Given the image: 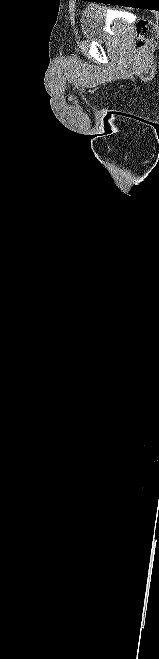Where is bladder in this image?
I'll return each mask as SVG.
<instances>
[{
    "label": "bladder",
    "instance_id": "bladder-1",
    "mask_svg": "<svg viewBox=\"0 0 159 659\" xmlns=\"http://www.w3.org/2000/svg\"><path fill=\"white\" fill-rule=\"evenodd\" d=\"M106 10L96 6H87L81 15V30L84 38L94 41H103L109 38L107 31ZM121 30L120 24L111 25V33L117 34Z\"/></svg>",
    "mask_w": 159,
    "mask_h": 659
}]
</instances>
